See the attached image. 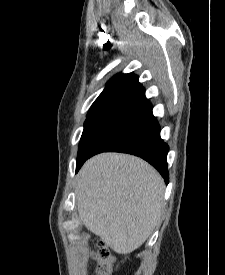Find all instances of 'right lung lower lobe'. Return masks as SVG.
Wrapping results in <instances>:
<instances>
[{
	"label": "right lung lower lobe",
	"instance_id": "right-lung-lower-lobe-1",
	"mask_svg": "<svg viewBox=\"0 0 225 275\" xmlns=\"http://www.w3.org/2000/svg\"><path fill=\"white\" fill-rule=\"evenodd\" d=\"M168 150V145L160 137V126L150 106L127 116L116 125L102 138L85 161L101 152L129 153L149 162L168 183L169 173L166 160Z\"/></svg>",
	"mask_w": 225,
	"mask_h": 275
}]
</instances>
